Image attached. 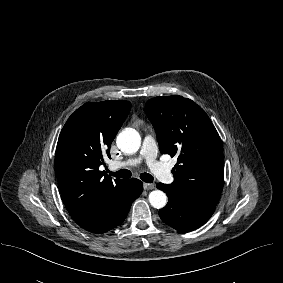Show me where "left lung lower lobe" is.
Wrapping results in <instances>:
<instances>
[{"mask_svg": "<svg viewBox=\"0 0 283 283\" xmlns=\"http://www.w3.org/2000/svg\"><path fill=\"white\" fill-rule=\"evenodd\" d=\"M157 188L168 196L166 207L159 216L169 226L178 231L189 232L202 226L212 216L215 207H209L193 200L184 191L158 183Z\"/></svg>", "mask_w": 283, "mask_h": 283, "instance_id": "1", "label": "left lung lower lobe"}]
</instances>
